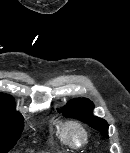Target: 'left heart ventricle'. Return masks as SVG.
Masks as SVG:
<instances>
[{
  "instance_id": "left-heart-ventricle-1",
  "label": "left heart ventricle",
  "mask_w": 130,
  "mask_h": 153,
  "mask_svg": "<svg viewBox=\"0 0 130 153\" xmlns=\"http://www.w3.org/2000/svg\"><path fill=\"white\" fill-rule=\"evenodd\" d=\"M71 136H72V139H73L75 142H79V141L81 140V135H80L79 132L76 131V130H73V131H72Z\"/></svg>"
}]
</instances>
